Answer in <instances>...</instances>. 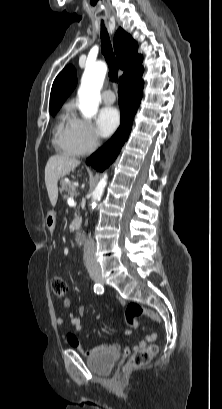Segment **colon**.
Wrapping results in <instances>:
<instances>
[{"label":"colon","mask_w":222,"mask_h":409,"mask_svg":"<svg viewBox=\"0 0 222 409\" xmlns=\"http://www.w3.org/2000/svg\"><path fill=\"white\" fill-rule=\"evenodd\" d=\"M50 287L55 297H57L58 299H62L65 297L67 293V284L63 280V278L58 275H54L50 280ZM141 315L148 316L156 321L159 320L156 313L151 310L144 309L137 303H129L126 306L124 316L125 320L129 324H135L136 318ZM156 352L157 346L155 344L145 345L130 357L125 365V369L140 367L149 363Z\"/></svg>","instance_id":"obj_1"}]
</instances>
